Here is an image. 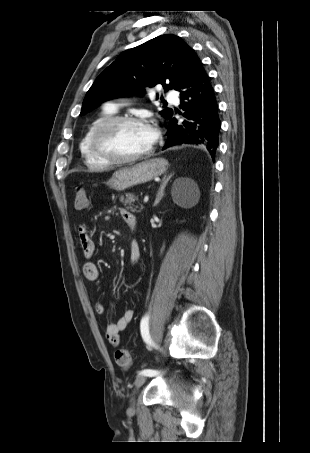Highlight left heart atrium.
I'll return each mask as SVG.
<instances>
[{
    "instance_id": "39dd6f15",
    "label": "left heart atrium",
    "mask_w": 310,
    "mask_h": 453,
    "mask_svg": "<svg viewBox=\"0 0 310 453\" xmlns=\"http://www.w3.org/2000/svg\"><path fill=\"white\" fill-rule=\"evenodd\" d=\"M145 132H146L148 141L152 145L156 141L157 136H158V132H157L156 128H154L153 126H150V125H146Z\"/></svg>"
}]
</instances>
